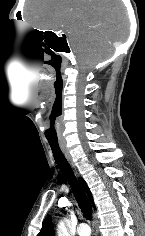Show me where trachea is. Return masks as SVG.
I'll use <instances>...</instances> for the list:
<instances>
[{
  "label": "trachea",
  "mask_w": 145,
  "mask_h": 236,
  "mask_svg": "<svg viewBox=\"0 0 145 236\" xmlns=\"http://www.w3.org/2000/svg\"><path fill=\"white\" fill-rule=\"evenodd\" d=\"M49 145L52 149V153L54 156V159L62 172L63 176L69 183V185L72 188V191L74 193V196L77 200V203L83 213V215L86 217V219L91 220L92 218V206L91 203L83 191V189L80 187L70 165L68 164L66 158L64 157L62 151L60 150L58 142H51L49 141Z\"/></svg>",
  "instance_id": "trachea-1"
}]
</instances>
